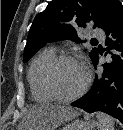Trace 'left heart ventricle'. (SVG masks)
Returning a JSON list of instances; mask_svg holds the SVG:
<instances>
[{"mask_svg": "<svg viewBox=\"0 0 123 130\" xmlns=\"http://www.w3.org/2000/svg\"><path fill=\"white\" fill-rule=\"evenodd\" d=\"M85 71L76 61H65L60 64L56 72V84L64 95L77 92L85 82Z\"/></svg>", "mask_w": 123, "mask_h": 130, "instance_id": "left-heart-ventricle-1", "label": "left heart ventricle"}]
</instances>
